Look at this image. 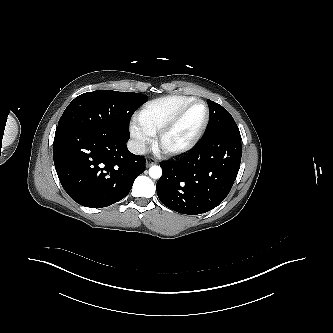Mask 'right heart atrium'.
Returning a JSON list of instances; mask_svg holds the SVG:
<instances>
[{
    "instance_id": "d8ad5b80",
    "label": "right heart atrium",
    "mask_w": 333,
    "mask_h": 333,
    "mask_svg": "<svg viewBox=\"0 0 333 333\" xmlns=\"http://www.w3.org/2000/svg\"><path fill=\"white\" fill-rule=\"evenodd\" d=\"M130 134L135 141V146L138 151L145 148L149 141V134L144 130V128L136 121L130 123Z\"/></svg>"
}]
</instances>
